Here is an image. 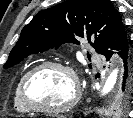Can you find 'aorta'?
<instances>
[{
    "label": "aorta",
    "instance_id": "1",
    "mask_svg": "<svg viewBox=\"0 0 133 118\" xmlns=\"http://www.w3.org/2000/svg\"><path fill=\"white\" fill-rule=\"evenodd\" d=\"M118 76H119V68L116 67L112 70V72L107 77L106 82L101 91L102 95H106L112 91V89L114 88L118 80Z\"/></svg>",
    "mask_w": 133,
    "mask_h": 118
}]
</instances>
